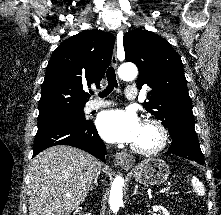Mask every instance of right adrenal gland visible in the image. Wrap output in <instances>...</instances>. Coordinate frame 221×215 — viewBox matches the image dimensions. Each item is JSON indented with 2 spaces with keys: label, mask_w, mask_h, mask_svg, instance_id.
<instances>
[{
  "label": "right adrenal gland",
  "mask_w": 221,
  "mask_h": 215,
  "mask_svg": "<svg viewBox=\"0 0 221 215\" xmlns=\"http://www.w3.org/2000/svg\"><path fill=\"white\" fill-rule=\"evenodd\" d=\"M97 180H98V176L95 177L94 182H93V183L91 184V186H90V190L93 189L94 185H96V186L98 185Z\"/></svg>",
  "instance_id": "right-adrenal-gland-1"
}]
</instances>
